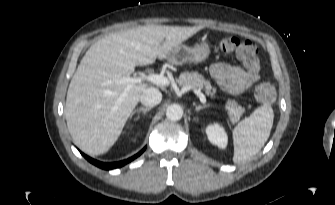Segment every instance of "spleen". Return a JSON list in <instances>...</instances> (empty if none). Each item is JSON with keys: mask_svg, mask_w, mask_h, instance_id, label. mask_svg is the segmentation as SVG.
I'll return each mask as SVG.
<instances>
[{"mask_svg": "<svg viewBox=\"0 0 335 205\" xmlns=\"http://www.w3.org/2000/svg\"><path fill=\"white\" fill-rule=\"evenodd\" d=\"M274 113L269 105L258 107L233 130V162L243 163L255 156L270 136Z\"/></svg>", "mask_w": 335, "mask_h": 205, "instance_id": "obj_1", "label": "spleen"}]
</instances>
